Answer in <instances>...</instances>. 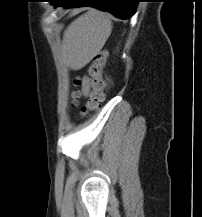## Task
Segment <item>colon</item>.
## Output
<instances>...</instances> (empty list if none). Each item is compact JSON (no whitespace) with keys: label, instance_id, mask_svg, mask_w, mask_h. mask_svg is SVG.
<instances>
[{"label":"colon","instance_id":"obj_1","mask_svg":"<svg viewBox=\"0 0 202 217\" xmlns=\"http://www.w3.org/2000/svg\"><path fill=\"white\" fill-rule=\"evenodd\" d=\"M107 61V52L100 51L96 53L91 61L88 69V73L91 79V92L89 100L86 105L81 107L80 114L85 117L91 111H96L100 108L102 101L104 100V89L106 86L103 78V68ZM82 83L80 78H74L73 86L78 87ZM72 103L76 105L78 98L80 97V91L75 89L72 91Z\"/></svg>","mask_w":202,"mask_h":217}]
</instances>
